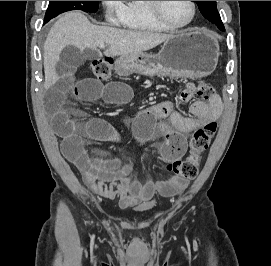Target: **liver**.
Wrapping results in <instances>:
<instances>
[{
    "instance_id": "6515ba94",
    "label": "liver",
    "mask_w": 271,
    "mask_h": 266,
    "mask_svg": "<svg viewBox=\"0 0 271 266\" xmlns=\"http://www.w3.org/2000/svg\"><path fill=\"white\" fill-rule=\"evenodd\" d=\"M173 35L150 31L122 30L108 26H96L81 12L74 11L61 16L50 29L44 43V88L47 90L58 80L55 62L60 59L62 50L69 45L81 52L96 50L104 44L107 57L127 56L155 48Z\"/></svg>"
}]
</instances>
